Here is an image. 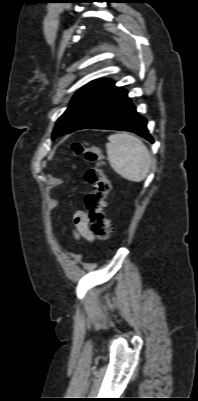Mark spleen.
I'll use <instances>...</instances> for the list:
<instances>
[{"mask_svg":"<svg viewBox=\"0 0 198 401\" xmlns=\"http://www.w3.org/2000/svg\"><path fill=\"white\" fill-rule=\"evenodd\" d=\"M108 140L106 152L112 169L129 181H143L151 166V156L146 145L128 133L110 135Z\"/></svg>","mask_w":198,"mask_h":401,"instance_id":"obj_1","label":"spleen"}]
</instances>
